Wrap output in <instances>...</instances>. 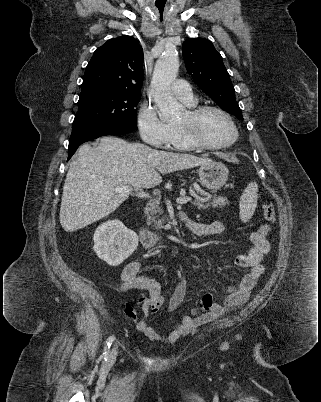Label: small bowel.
<instances>
[{"label":"small bowel","instance_id":"small-bowel-1","mask_svg":"<svg viewBox=\"0 0 321 402\" xmlns=\"http://www.w3.org/2000/svg\"><path fill=\"white\" fill-rule=\"evenodd\" d=\"M186 228L196 236H218L225 232L223 223L215 221L211 223H200L191 219H185ZM269 227L262 225L249 234L252 244L250 250L246 254H239L235 257V265L248 269L240 283L236 286H230L227 294L221 303L213 301L212 293H206L201 299V307L205 302L211 305L205 312L198 314L197 309L192 310V315H183L176 323L174 330L167 336H161L147 322V317L157 312L164 304V297L161 293L160 284L146 276L139 274L141 265L138 262L128 263L121 273V290L129 291L134 289L145 290L148 293V299L142 303L143 317L136 323L137 330L142 333L149 341H164L166 343H174L180 337L189 334L195 328L213 322L227 313L229 310L243 304L249 297L250 292L256 285L257 281L264 273L263 260L270 250V243L267 238ZM186 294V285L181 280L169 302V311L175 313L184 301ZM203 308V307H202Z\"/></svg>","mask_w":321,"mask_h":402}]
</instances>
